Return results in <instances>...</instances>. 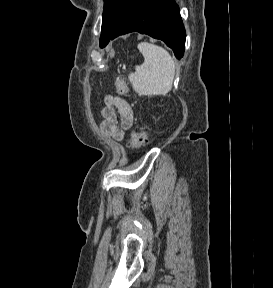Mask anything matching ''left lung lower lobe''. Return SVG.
Segmentation results:
<instances>
[{
    "label": "left lung lower lobe",
    "mask_w": 273,
    "mask_h": 288,
    "mask_svg": "<svg viewBox=\"0 0 273 288\" xmlns=\"http://www.w3.org/2000/svg\"><path fill=\"white\" fill-rule=\"evenodd\" d=\"M130 32L162 40L174 51L177 59L184 54L186 33L174 0H132L111 39Z\"/></svg>",
    "instance_id": "left-lung-lower-lobe-1"
}]
</instances>
